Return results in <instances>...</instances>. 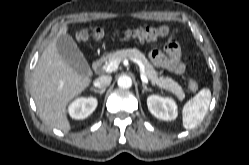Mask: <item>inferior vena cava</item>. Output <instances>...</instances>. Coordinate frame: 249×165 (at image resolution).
<instances>
[{
    "mask_svg": "<svg viewBox=\"0 0 249 165\" xmlns=\"http://www.w3.org/2000/svg\"><path fill=\"white\" fill-rule=\"evenodd\" d=\"M112 77L109 75H103L95 79L94 86L100 89L106 88L110 85Z\"/></svg>",
    "mask_w": 249,
    "mask_h": 165,
    "instance_id": "1",
    "label": "inferior vena cava"
}]
</instances>
